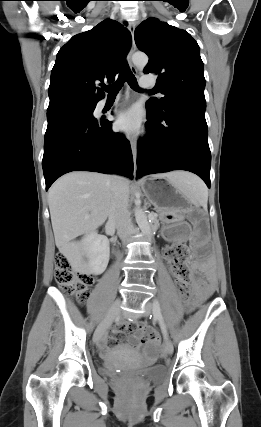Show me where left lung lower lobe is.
Returning a JSON list of instances; mask_svg holds the SVG:
<instances>
[{"label": "left lung lower lobe", "mask_w": 261, "mask_h": 427, "mask_svg": "<svg viewBox=\"0 0 261 427\" xmlns=\"http://www.w3.org/2000/svg\"><path fill=\"white\" fill-rule=\"evenodd\" d=\"M149 134L138 143L137 176L186 170L210 188L211 153L205 120L206 102L181 98L161 112L146 104Z\"/></svg>", "instance_id": "0a47b994"}]
</instances>
